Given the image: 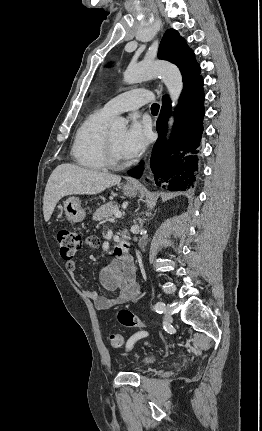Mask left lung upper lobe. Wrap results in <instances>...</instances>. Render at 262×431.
<instances>
[{
	"mask_svg": "<svg viewBox=\"0 0 262 431\" xmlns=\"http://www.w3.org/2000/svg\"><path fill=\"white\" fill-rule=\"evenodd\" d=\"M158 58L176 64L183 77L184 87L202 79L200 66L195 60L194 52L188 47L179 33L170 29L164 34L160 43Z\"/></svg>",
	"mask_w": 262,
	"mask_h": 431,
	"instance_id": "5c2ea615",
	"label": "left lung upper lobe"
}]
</instances>
